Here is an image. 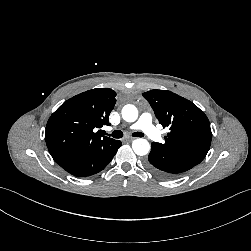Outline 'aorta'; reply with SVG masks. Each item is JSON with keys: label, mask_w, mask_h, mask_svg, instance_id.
<instances>
[{"label": "aorta", "mask_w": 251, "mask_h": 251, "mask_svg": "<svg viewBox=\"0 0 251 251\" xmlns=\"http://www.w3.org/2000/svg\"><path fill=\"white\" fill-rule=\"evenodd\" d=\"M122 118L127 122H134L138 118V110L134 105H125L122 109ZM132 149L135 154L144 156L150 151V144L144 138L135 139L132 142Z\"/></svg>", "instance_id": "obj_1"}]
</instances>
